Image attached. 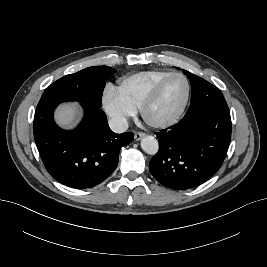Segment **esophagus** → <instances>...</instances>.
Instances as JSON below:
<instances>
[{
  "instance_id": "34e87169",
  "label": "esophagus",
  "mask_w": 267,
  "mask_h": 267,
  "mask_svg": "<svg viewBox=\"0 0 267 267\" xmlns=\"http://www.w3.org/2000/svg\"><path fill=\"white\" fill-rule=\"evenodd\" d=\"M144 136H145V133H143V132H136L135 135H134V138H135L136 141H139Z\"/></svg>"
}]
</instances>
